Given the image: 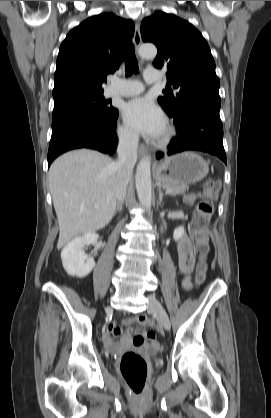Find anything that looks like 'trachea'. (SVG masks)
<instances>
[{
  "label": "trachea",
  "mask_w": 271,
  "mask_h": 418,
  "mask_svg": "<svg viewBox=\"0 0 271 418\" xmlns=\"http://www.w3.org/2000/svg\"><path fill=\"white\" fill-rule=\"evenodd\" d=\"M125 69L127 76L138 72V62L134 53V46L132 43L129 44L126 49Z\"/></svg>",
  "instance_id": "obj_1"
}]
</instances>
